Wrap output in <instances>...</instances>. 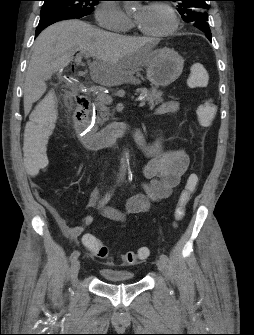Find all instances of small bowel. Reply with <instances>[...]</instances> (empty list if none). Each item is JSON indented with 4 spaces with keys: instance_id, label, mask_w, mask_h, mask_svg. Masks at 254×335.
I'll list each match as a JSON object with an SVG mask.
<instances>
[{
    "instance_id": "c3829d8e",
    "label": "small bowel",
    "mask_w": 254,
    "mask_h": 335,
    "mask_svg": "<svg viewBox=\"0 0 254 335\" xmlns=\"http://www.w3.org/2000/svg\"><path fill=\"white\" fill-rule=\"evenodd\" d=\"M178 109L179 105L176 101H168L158 108L157 113H176ZM135 142L147 158L143 175L144 185L148 192L146 195L139 194L131 197L127 201L126 212L144 213L149 210L151 202L161 201L171 196L173 190L179 185L182 176L186 173L190 159L181 149H167L164 138H159L154 142H146L143 138ZM88 205L91 208L98 209L109 220L123 222L125 219L124 212L102 204L100 192L97 190L91 193ZM52 214L64 234L73 241L77 240L85 229L93 223V217L88 215L81 220L80 224L71 226L56 211L53 210ZM86 237H93V235L85 234L83 240ZM91 253L95 255L93 252Z\"/></svg>"
}]
</instances>
